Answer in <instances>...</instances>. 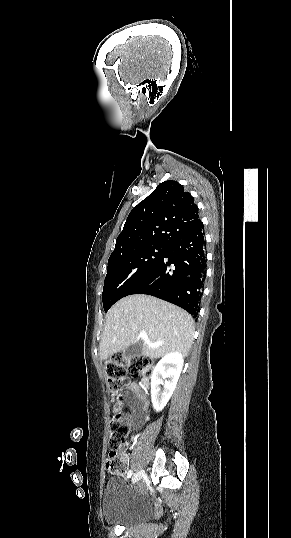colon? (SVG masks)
I'll use <instances>...</instances> for the list:
<instances>
[{
	"label": "colon",
	"mask_w": 291,
	"mask_h": 538,
	"mask_svg": "<svg viewBox=\"0 0 291 538\" xmlns=\"http://www.w3.org/2000/svg\"><path fill=\"white\" fill-rule=\"evenodd\" d=\"M107 382L114 399L116 411L121 409L123 390L130 384V376L150 378L153 374L152 360L143 355L130 357L127 361L120 354H115L105 365ZM129 423L119 415L109 422V457L106 461V470L116 474L121 471V460L118 451L129 434Z\"/></svg>",
	"instance_id": "obj_1"
}]
</instances>
